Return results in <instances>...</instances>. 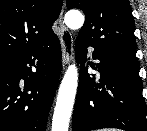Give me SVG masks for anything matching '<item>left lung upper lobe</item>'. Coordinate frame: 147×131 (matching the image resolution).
I'll return each mask as SVG.
<instances>
[{
  "label": "left lung upper lobe",
  "instance_id": "left-lung-upper-lobe-1",
  "mask_svg": "<svg viewBox=\"0 0 147 131\" xmlns=\"http://www.w3.org/2000/svg\"><path fill=\"white\" fill-rule=\"evenodd\" d=\"M67 8H78L85 13V23L77 39L139 70L135 24L128 0H67Z\"/></svg>",
  "mask_w": 147,
  "mask_h": 131
}]
</instances>
